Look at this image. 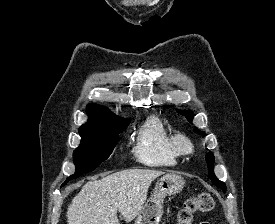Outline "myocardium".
Masks as SVG:
<instances>
[{"instance_id": "1", "label": "myocardium", "mask_w": 275, "mask_h": 224, "mask_svg": "<svg viewBox=\"0 0 275 224\" xmlns=\"http://www.w3.org/2000/svg\"><path fill=\"white\" fill-rule=\"evenodd\" d=\"M172 144L176 152L180 155H189L194 151L192 140L183 133L172 136Z\"/></svg>"}]
</instances>
